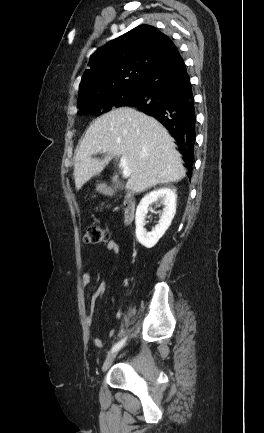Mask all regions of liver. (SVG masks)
Wrapping results in <instances>:
<instances>
[{
    "mask_svg": "<svg viewBox=\"0 0 264 433\" xmlns=\"http://www.w3.org/2000/svg\"><path fill=\"white\" fill-rule=\"evenodd\" d=\"M102 151L104 159L92 158ZM113 157H127L132 172L126 189L134 193L178 182L186 174L167 130L154 118L128 107L113 109L89 126L75 156L76 189L101 173Z\"/></svg>",
    "mask_w": 264,
    "mask_h": 433,
    "instance_id": "1",
    "label": "liver"
}]
</instances>
